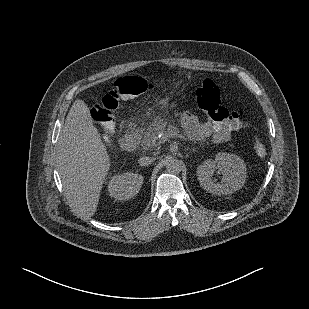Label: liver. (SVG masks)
<instances>
[{
  "label": "liver",
  "instance_id": "1",
  "mask_svg": "<svg viewBox=\"0 0 309 309\" xmlns=\"http://www.w3.org/2000/svg\"><path fill=\"white\" fill-rule=\"evenodd\" d=\"M58 168L63 187L77 209L93 216L110 158L83 100L72 104L58 140Z\"/></svg>",
  "mask_w": 309,
  "mask_h": 309
}]
</instances>
